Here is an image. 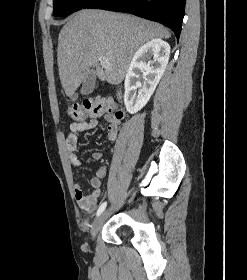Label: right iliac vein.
Wrapping results in <instances>:
<instances>
[{"mask_svg": "<svg viewBox=\"0 0 247 280\" xmlns=\"http://www.w3.org/2000/svg\"><path fill=\"white\" fill-rule=\"evenodd\" d=\"M105 214L106 213H103L101 215H99L95 221L93 222V225H92V228H91V236H92V239H94L97 235V233L99 232L103 222H104V219H105Z\"/></svg>", "mask_w": 247, "mask_h": 280, "instance_id": "63e3f726", "label": "right iliac vein"}]
</instances>
